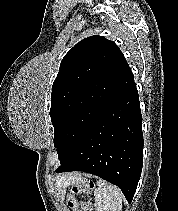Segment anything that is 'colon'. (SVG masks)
<instances>
[{
  "mask_svg": "<svg viewBox=\"0 0 178 211\" xmlns=\"http://www.w3.org/2000/svg\"><path fill=\"white\" fill-rule=\"evenodd\" d=\"M94 185L91 181L87 183H76L71 186L70 191L66 195L68 205L73 206L76 202V197L82 193L90 192Z\"/></svg>",
  "mask_w": 178,
  "mask_h": 211,
  "instance_id": "colon-1",
  "label": "colon"
}]
</instances>
